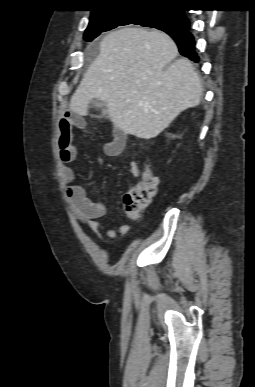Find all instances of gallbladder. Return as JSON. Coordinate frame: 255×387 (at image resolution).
Listing matches in <instances>:
<instances>
[{"label":"gallbladder","instance_id":"bac80fb5","mask_svg":"<svg viewBox=\"0 0 255 387\" xmlns=\"http://www.w3.org/2000/svg\"><path fill=\"white\" fill-rule=\"evenodd\" d=\"M92 104L96 107H103L104 106V103L100 100H93Z\"/></svg>","mask_w":255,"mask_h":387}]
</instances>
